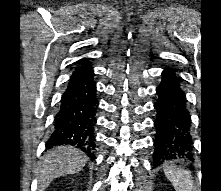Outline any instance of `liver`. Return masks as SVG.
Returning a JSON list of instances; mask_svg holds the SVG:
<instances>
[{"mask_svg": "<svg viewBox=\"0 0 221 191\" xmlns=\"http://www.w3.org/2000/svg\"><path fill=\"white\" fill-rule=\"evenodd\" d=\"M86 163V156L72 146H59L51 150L38 169V184L43 191L51 181L68 174L78 173Z\"/></svg>", "mask_w": 221, "mask_h": 191, "instance_id": "liver-1", "label": "liver"}]
</instances>
